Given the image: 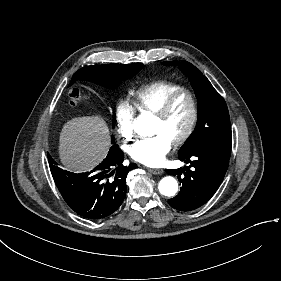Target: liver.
<instances>
[{
    "label": "liver",
    "mask_w": 281,
    "mask_h": 281,
    "mask_svg": "<svg viewBox=\"0 0 281 281\" xmlns=\"http://www.w3.org/2000/svg\"><path fill=\"white\" fill-rule=\"evenodd\" d=\"M58 155L66 170L89 172L103 162L111 146V132L101 113L65 122L59 134Z\"/></svg>",
    "instance_id": "6515ba94"
}]
</instances>
